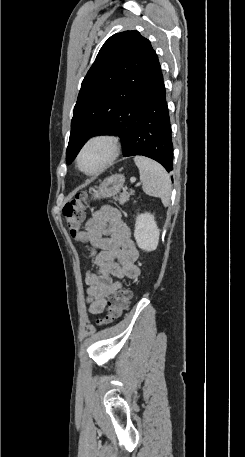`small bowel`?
Here are the masks:
<instances>
[{
	"label": "small bowel",
	"mask_w": 245,
	"mask_h": 457,
	"mask_svg": "<svg viewBox=\"0 0 245 457\" xmlns=\"http://www.w3.org/2000/svg\"><path fill=\"white\" fill-rule=\"evenodd\" d=\"M78 242L92 249L96 269L86 273L89 312L101 313L111 294L121 287L114 279H134L140 275L138 250L120 212L109 205L102 206L76 235Z\"/></svg>",
	"instance_id": "small-bowel-1"
}]
</instances>
